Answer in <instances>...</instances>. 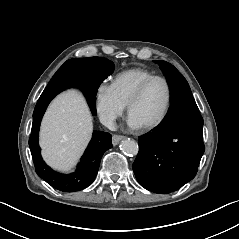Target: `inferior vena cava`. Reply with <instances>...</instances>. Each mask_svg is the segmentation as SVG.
Returning a JSON list of instances; mask_svg holds the SVG:
<instances>
[{
    "label": "inferior vena cava",
    "mask_w": 239,
    "mask_h": 239,
    "mask_svg": "<svg viewBox=\"0 0 239 239\" xmlns=\"http://www.w3.org/2000/svg\"><path fill=\"white\" fill-rule=\"evenodd\" d=\"M102 124L111 131L117 130V125L114 122V117H102Z\"/></svg>",
    "instance_id": "obj_1"
}]
</instances>
